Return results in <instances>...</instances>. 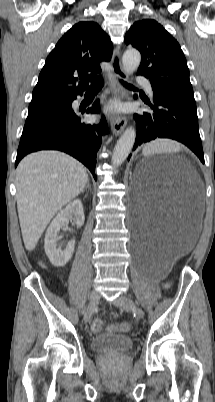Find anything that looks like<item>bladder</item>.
I'll return each mask as SVG.
<instances>
[{
	"label": "bladder",
	"mask_w": 215,
	"mask_h": 402,
	"mask_svg": "<svg viewBox=\"0 0 215 402\" xmlns=\"http://www.w3.org/2000/svg\"><path fill=\"white\" fill-rule=\"evenodd\" d=\"M133 347L130 337L115 333L98 334L91 340V349L96 353L120 355Z\"/></svg>",
	"instance_id": "bladder-1"
}]
</instances>
